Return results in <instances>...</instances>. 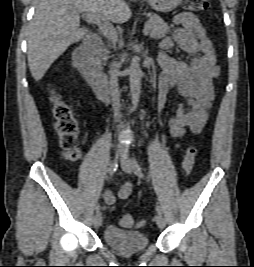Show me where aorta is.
<instances>
[{
  "label": "aorta",
  "mask_w": 254,
  "mask_h": 267,
  "mask_svg": "<svg viewBox=\"0 0 254 267\" xmlns=\"http://www.w3.org/2000/svg\"><path fill=\"white\" fill-rule=\"evenodd\" d=\"M141 78H142V70L140 68L139 61L138 59H134L129 68L130 92H131L132 104L134 107H137L140 99Z\"/></svg>",
  "instance_id": "1"
}]
</instances>
